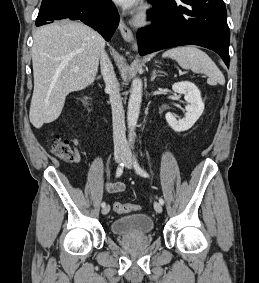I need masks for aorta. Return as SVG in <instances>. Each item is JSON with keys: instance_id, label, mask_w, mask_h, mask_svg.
Instances as JSON below:
<instances>
[{"instance_id": "aorta-1", "label": "aorta", "mask_w": 259, "mask_h": 283, "mask_svg": "<svg viewBox=\"0 0 259 283\" xmlns=\"http://www.w3.org/2000/svg\"><path fill=\"white\" fill-rule=\"evenodd\" d=\"M142 88L143 84L140 78H135L132 81L130 97L128 102L127 122L129 128V141L132 142L134 138V130L140 113V106L142 102Z\"/></svg>"}]
</instances>
